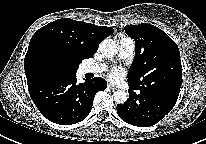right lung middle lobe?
I'll list each match as a JSON object with an SVG mask.
<instances>
[{"label":"right lung middle lobe","mask_w":206,"mask_h":144,"mask_svg":"<svg viewBox=\"0 0 206 144\" xmlns=\"http://www.w3.org/2000/svg\"><path fill=\"white\" fill-rule=\"evenodd\" d=\"M80 63L81 60L79 59L43 51L32 58L30 66L37 75H74Z\"/></svg>","instance_id":"1"}]
</instances>
